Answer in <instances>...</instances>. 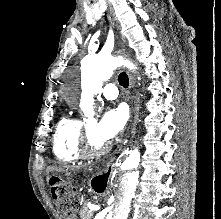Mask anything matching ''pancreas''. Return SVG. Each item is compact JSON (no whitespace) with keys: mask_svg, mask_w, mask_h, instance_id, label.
I'll list each match as a JSON object with an SVG mask.
<instances>
[{"mask_svg":"<svg viewBox=\"0 0 221 219\" xmlns=\"http://www.w3.org/2000/svg\"><path fill=\"white\" fill-rule=\"evenodd\" d=\"M79 214L81 219H91L93 216V212H90V209L88 208L86 203L81 208Z\"/></svg>","mask_w":221,"mask_h":219,"instance_id":"obj_1","label":"pancreas"}]
</instances>
